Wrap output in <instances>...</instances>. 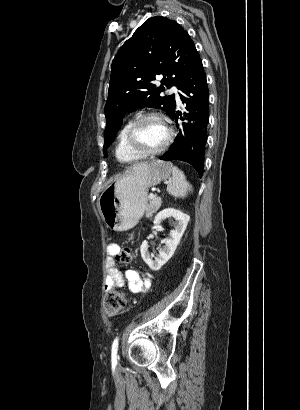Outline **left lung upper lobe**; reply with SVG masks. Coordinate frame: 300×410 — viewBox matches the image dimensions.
Returning a JSON list of instances; mask_svg holds the SVG:
<instances>
[{
	"mask_svg": "<svg viewBox=\"0 0 300 410\" xmlns=\"http://www.w3.org/2000/svg\"><path fill=\"white\" fill-rule=\"evenodd\" d=\"M196 55L187 31L166 17L149 18L134 32L112 61L105 105L104 150L113 142L127 111L153 107L172 115L176 106L174 95L160 93L178 87ZM157 75H163L159 87L153 83ZM104 155L107 156L105 151Z\"/></svg>",
	"mask_w": 300,
	"mask_h": 410,
	"instance_id": "5c2ea615",
	"label": "left lung upper lobe"
}]
</instances>
